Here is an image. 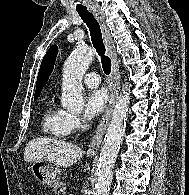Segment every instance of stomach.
<instances>
[{
  "label": "stomach",
  "instance_id": "obj_1",
  "mask_svg": "<svg viewBox=\"0 0 189 195\" xmlns=\"http://www.w3.org/2000/svg\"><path fill=\"white\" fill-rule=\"evenodd\" d=\"M31 170L35 178L45 186H54L59 182L61 168L55 162L37 161L32 164Z\"/></svg>",
  "mask_w": 189,
  "mask_h": 195
}]
</instances>
